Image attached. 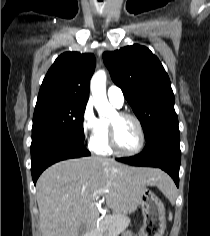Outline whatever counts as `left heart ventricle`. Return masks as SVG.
Returning <instances> with one entry per match:
<instances>
[{"label":"left heart ventricle","instance_id":"obj_1","mask_svg":"<svg viewBox=\"0 0 210 236\" xmlns=\"http://www.w3.org/2000/svg\"><path fill=\"white\" fill-rule=\"evenodd\" d=\"M110 120L115 123L119 147L124 151L134 150L139 144V131L135 121L130 118H118L116 114Z\"/></svg>","mask_w":210,"mask_h":236}]
</instances>
